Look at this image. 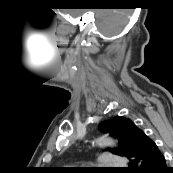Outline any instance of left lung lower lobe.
Here are the masks:
<instances>
[{"instance_id": "1", "label": "left lung lower lobe", "mask_w": 173, "mask_h": 173, "mask_svg": "<svg viewBox=\"0 0 173 173\" xmlns=\"http://www.w3.org/2000/svg\"><path fill=\"white\" fill-rule=\"evenodd\" d=\"M128 159L127 173H167L164 155L143 131L139 132L138 145Z\"/></svg>"}]
</instances>
